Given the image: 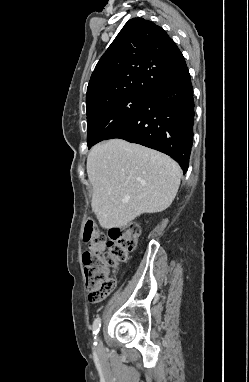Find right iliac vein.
Returning a JSON list of instances; mask_svg holds the SVG:
<instances>
[{"mask_svg": "<svg viewBox=\"0 0 249 382\" xmlns=\"http://www.w3.org/2000/svg\"><path fill=\"white\" fill-rule=\"evenodd\" d=\"M97 340H98V346H97V348L100 349V348H101V343H100L99 339H97Z\"/></svg>", "mask_w": 249, "mask_h": 382, "instance_id": "63e3f726", "label": "right iliac vein"}]
</instances>
